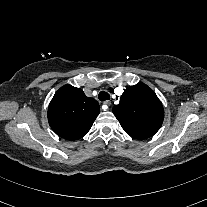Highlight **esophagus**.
Wrapping results in <instances>:
<instances>
[{
  "mask_svg": "<svg viewBox=\"0 0 207 207\" xmlns=\"http://www.w3.org/2000/svg\"><path fill=\"white\" fill-rule=\"evenodd\" d=\"M104 104L109 107L111 105V101H109V100L104 101Z\"/></svg>",
  "mask_w": 207,
  "mask_h": 207,
  "instance_id": "34e87169",
  "label": "esophagus"
}]
</instances>
